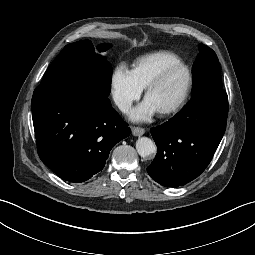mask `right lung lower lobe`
I'll use <instances>...</instances> for the list:
<instances>
[{
    "label": "right lung lower lobe",
    "instance_id": "obj_1",
    "mask_svg": "<svg viewBox=\"0 0 255 255\" xmlns=\"http://www.w3.org/2000/svg\"><path fill=\"white\" fill-rule=\"evenodd\" d=\"M32 118L40 159L60 178L80 183L101 171L130 128L110 100L72 85H39Z\"/></svg>",
    "mask_w": 255,
    "mask_h": 255
}]
</instances>
